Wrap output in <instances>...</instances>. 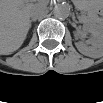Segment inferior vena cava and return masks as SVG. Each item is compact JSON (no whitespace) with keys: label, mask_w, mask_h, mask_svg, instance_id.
Returning a JSON list of instances; mask_svg holds the SVG:
<instances>
[{"label":"inferior vena cava","mask_w":103,"mask_h":103,"mask_svg":"<svg viewBox=\"0 0 103 103\" xmlns=\"http://www.w3.org/2000/svg\"><path fill=\"white\" fill-rule=\"evenodd\" d=\"M46 12V7L42 5H36L32 8L30 12V17L33 20L41 18Z\"/></svg>","instance_id":"1"}]
</instances>
